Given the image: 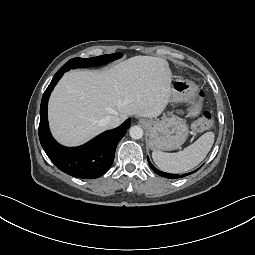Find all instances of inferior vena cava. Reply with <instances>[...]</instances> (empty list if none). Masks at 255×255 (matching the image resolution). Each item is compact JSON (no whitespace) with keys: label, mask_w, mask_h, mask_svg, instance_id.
<instances>
[{"label":"inferior vena cava","mask_w":255,"mask_h":255,"mask_svg":"<svg viewBox=\"0 0 255 255\" xmlns=\"http://www.w3.org/2000/svg\"><path fill=\"white\" fill-rule=\"evenodd\" d=\"M101 122L106 128L112 129L119 126L122 123V119L117 115H109L103 118Z\"/></svg>","instance_id":"1"}]
</instances>
